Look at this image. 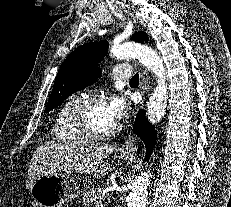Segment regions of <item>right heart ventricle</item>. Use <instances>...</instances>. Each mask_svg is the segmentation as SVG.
Returning a JSON list of instances; mask_svg holds the SVG:
<instances>
[{
	"label": "right heart ventricle",
	"instance_id": "right-heart-ventricle-1",
	"mask_svg": "<svg viewBox=\"0 0 231 207\" xmlns=\"http://www.w3.org/2000/svg\"><path fill=\"white\" fill-rule=\"evenodd\" d=\"M79 99L76 95L71 96L58 109L52 129L56 140L62 142H79L83 139L74 128L71 119L72 110Z\"/></svg>",
	"mask_w": 231,
	"mask_h": 207
}]
</instances>
